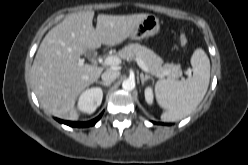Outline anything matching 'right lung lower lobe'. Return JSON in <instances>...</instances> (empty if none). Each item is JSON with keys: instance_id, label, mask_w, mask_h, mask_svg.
Returning a JSON list of instances; mask_svg holds the SVG:
<instances>
[{"instance_id": "obj_1", "label": "right lung lower lobe", "mask_w": 248, "mask_h": 165, "mask_svg": "<svg viewBox=\"0 0 248 165\" xmlns=\"http://www.w3.org/2000/svg\"><path fill=\"white\" fill-rule=\"evenodd\" d=\"M103 112L95 119L89 121V122H70V121H63L60 119H57L58 122L72 126V127H88L93 126L97 123V121L101 118Z\"/></svg>"}]
</instances>
